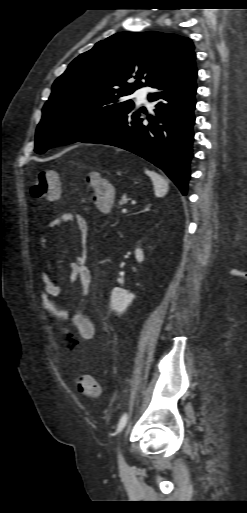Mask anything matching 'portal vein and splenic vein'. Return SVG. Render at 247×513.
Here are the masks:
<instances>
[{
	"label": "portal vein and splenic vein",
	"mask_w": 247,
	"mask_h": 513,
	"mask_svg": "<svg viewBox=\"0 0 247 513\" xmlns=\"http://www.w3.org/2000/svg\"><path fill=\"white\" fill-rule=\"evenodd\" d=\"M121 212H122V214H126L127 213V209L123 208Z\"/></svg>",
	"instance_id": "obj_1"
}]
</instances>
